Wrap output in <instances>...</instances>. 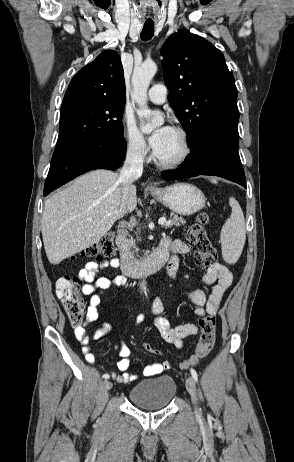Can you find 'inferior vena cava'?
<instances>
[{"label": "inferior vena cava", "mask_w": 294, "mask_h": 462, "mask_svg": "<svg viewBox=\"0 0 294 462\" xmlns=\"http://www.w3.org/2000/svg\"><path fill=\"white\" fill-rule=\"evenodd\" d=\"M143 161L144 157L142 155L141 144H130L127 150L126 160L120 173V179L123 185L122 201L120 204L121 213L126 210L133 182L142 175Z\"/></svg>", "instance_id": "1"}]
</instances>
